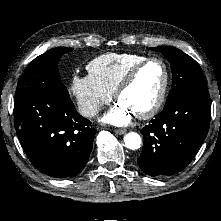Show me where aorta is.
Listing matches in <instances>:
<instances>
[{
	"instance_id": "762f6f07",
	"label": "aorta",
	"mask_w": 221,
	"mask_h": 221,
	"mask_svg": "<svg viewBox=\"0 0 221 221\" xmlns=\"http://www.w3.org/2000/svg\"><path fill=\"white\" fill-rule=\"evenodd\" d=\"M124 143L128 149H139L141 146V137L136 132H129L124 136Z\"/></svg>"
}]
</instances>
